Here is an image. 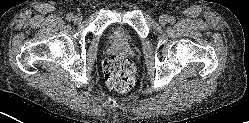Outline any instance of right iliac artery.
I'll list each match as a JSON object with an SVG mask.
<instances>
[{"instance_id": "obj_1", "label": "right iliac artery", "mask_w": 249, "mask_h": 123, "mask_svg": "<svg viewBox=\"0 0 249 123\" xmlns=\"http://www.w3.org/2000/svg\"><path fill=\"white\" fill-rule=\"evenodd\" d=\"M66 19L68 21H72L74 19V15L72 13L67 14Z\"/></svg>"}]
</instances>
